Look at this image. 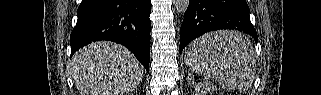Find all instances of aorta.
Wrapping results in <instances>:
<instances>
[{
	"label": "aorta",
	"mask_w": 321,
	"mask_h": 95,
	"mask_svg": "<svg viewBox=\"0 0 321 95\" xmlns=\"http://www.w3.org/2000/svg\"><path fill=\"white\" fill-rule=\"evenodd\" d=\"M174 5L178 13L184 14L189 6V0H174Z\"/></svg>",
	"instance_id": "762f6f07"
}]
</instances>
